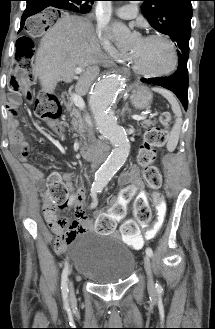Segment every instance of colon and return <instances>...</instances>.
Segmentation results:
<instances>
[{"mask_svg": "<svg viewBox=\"0 0 215 329\" xmlns=\"http://www.w3.org/2000/svg\"><path fill=\"white\" fill-rule=\"evenodd\" d=\"M55 21H66V14H32V19H28V25H24L25 37H17L18 53L13 56V61L7 62L10 73H27L30 67V60L34 54L33 44H38V38H50L51 26H55ZM12 81L9 82V92H7V109H22L26 103V97L34 101L35 115L45 121L58 124L60 110L56 98L53 95L42 94L34 98L27 87V74H12ZM26 95V96H25ZM161 126L149 130L145 135V142L139 151V163L143 168V178L149 190L153 192L152 212L155 223L143 236L145 239L154 238L162 228L163 221L169 215V207L165 206L164 197L159 193L162 185V175L157 166L154 165L157 149L163 147L168 139V128L171 122L169 112H163L160 116ZM45 201L55 211H63L74 208L77 214L84 198L82 190L73 194L68 183L58 174H52L48 180V187L44 193ZM146 201H148L146 199ZM149 202V201H148ZM150 206V205H149ZM135 221H126L122 225V235L127 240H134L140 235L138 224H146L150 218H135ZM108 220V219H99ZM74 224L65 219L54 223L51 228L57 234V244H65L69 241V235L74 228Z\"/></svg>", "mask_w": 215, "mask_h": 329, "instance_id": "colon-1", "label": "colon"}]
</instances>
